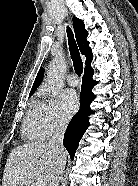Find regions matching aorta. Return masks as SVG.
Instances as JSON below:
<instances>
[{
    "label": "aorta",
    "mask_w": 138,
    "mask_h": 186,
    "mask_svg": "<svg viewBox=\"0 0 138 186\" xmlns=\"http://www.w3.org/2000/svg\"><path fill=\"white\" fill-rule=\"evenodd\" d=\"M66 70L65 58L62 55L55 57L47 72V89L55 97L64 87V72Z\"/></svg>",
    "instance_id": "aorta-1"
}]
</instances>
